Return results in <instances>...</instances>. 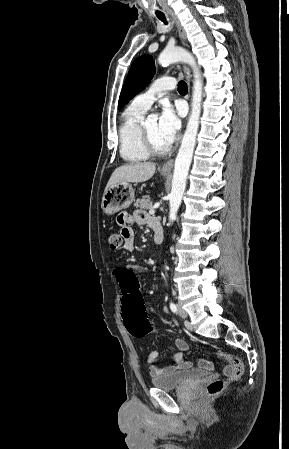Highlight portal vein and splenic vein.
Listing matches in <instances>:
<instances>
[{
  "instance_id": "18ae733b",
  "label": "portal vein and splenic vein",
  "mask_w": 289,
  "mask_h": 449,
  "mask_svg": "<svg viewBox=\"0 0 289 449\" xmlns=\"http://www.w3.org/2000/svg\"><path fill=\"white\" fill-rule=\"evenodd\" d=\"M155 209H156V206L151 207V208L149 209V213H150V214H154V213H155Z\"/></svg>"
}]
</instances>
